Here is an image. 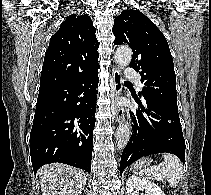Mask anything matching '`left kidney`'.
I'll return each mask as SVG.
<instances>
[{"mask_svg": "<svg viewBox=\"0 0 211 195\" xmlns=\"http://www.w3.org/2000/svg\"><path fill=\"white\" fill-rule=\"evenodd\" d=\"M128 195H165L160 187L140 176H130L126 182Z\"/></svg>", "mask_w": 211, "mask_h": 195, "instance_id": "5707ae66", "label": "left kidney"}]
</instances>
